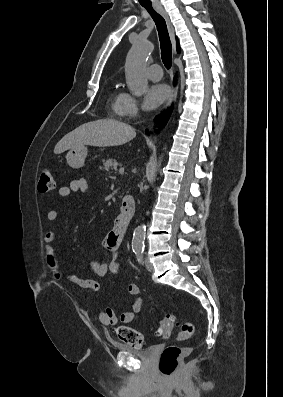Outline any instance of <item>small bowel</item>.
I'll list each match as a JSON object with an SVG mask.
<instances>
[{
	"label": "small bowel",
	"instance_id": "c3829d8e",
	"mask_svg": "<svg viewBox=\"0 0 283 397\" xmlns=\"http://www.w3.org/2000/svg\"><path fill=\"white\" fill-rule=\"evenodd\" d=\"M88 189V182L85 178H78L72 180L68 186H63L58 189V195L61 197H68L74 193H84ZM59 218L57 210H50L47 214V219L54 222ZM122 233L116 229H112L104 239V247L108 252L107 261L100 262L93 260L90 263L91 269L100 277L108 274L117 275L120 271L119 263V245L123 239ZM44 255L45 263L51 274L56 280H67L83 289H89L92 292H97L101 288V283L95 280L83 279L75 274H63L60 270L59 262L55 253V233L48 231L44 235ZM127 292L131 296H135L131 308L122 312L119 316L114 309L107 307L101 310L98 314L99 321L104 326H114L123 323L128 324L134 320L139 319V314L142 310L144 300L140 296V287L136 283H131L127 287Z\"/></svg>",
	"mask_w": 283,
	"mask_h": 397
}]
</instances>
